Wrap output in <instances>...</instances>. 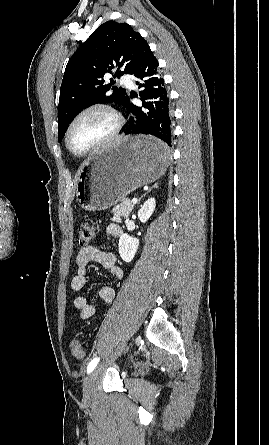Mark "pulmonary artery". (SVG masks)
I'll list each match as a JSON object with an SVG mask.
<instances>
[{"label":"pulmonary artery","instance_id":"pulmonary-artery-1","mask_svg":"<svg viewBox=\"0 0 269 445\" xmlns=\"http://www.w3.org/2000/svg\"><path fill=\"white\" fill-rule=\"evenodd\" d=\"M120 83L126 85L127 87L133 86V83L128 76H122L120 79Z\"/></svg>","mask_w":269,"mask_h":445}]
</instances>
